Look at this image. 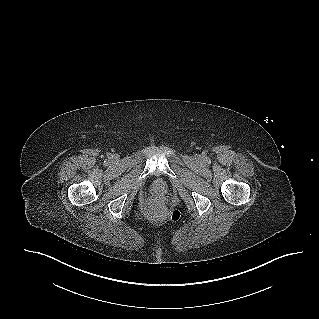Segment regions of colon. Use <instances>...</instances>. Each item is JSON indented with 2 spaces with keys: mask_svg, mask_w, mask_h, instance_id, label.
I'll return each instance as SVG.
<instances>
[{
  "mask_svg": "<svg viewBox=\"0 0 319 319\" xmlns=\"http://www.w3.org/2000/svg\"><path fill=\"white\" fill-rule=\"evenodd\" d=\"M154 210L158 211V212H161V213H168L167 207L165 205H163L162 203H157L154 206ZM172 215H174V213H172Z\"/></svg>",
  "mask_w": 319,
  "mask_h": 319,
  "instance_id": "colon-1",
  "label": "colon"
}]
</instances>
